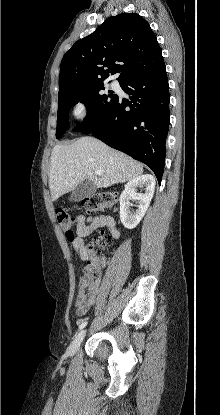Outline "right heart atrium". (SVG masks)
Segmentation results:
<instances>
[{
  "instance_id": "d8ad5b80",
  "label": "right heart atrium",
  "mask_w": 220,
  "mask_h": 415,
  "mask_svg": "<svg viewBox=\"0 0 220 415\" xmlns=\"http://www.w3.org/2000/svg\"><path fill=\"white\" fill-rule=\"evenodd\" d=\"M89 112H90L89 106L85 101L78 102V104L75 106L73 110V114L75 118L78 120H82L85 117H87Z\"/></svg>"
}]
</instances>
